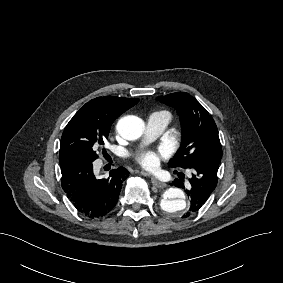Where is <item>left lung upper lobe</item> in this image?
<instances>
[{
  "label": "left lung upper lobe",
  "mask_w": 283,
  "mask_h": 283,
  "mask_svg": "<svg viewBox=\"0 0 283 283\" xmlns=\"http://www.w3.org/2000/svg\"><path fill=\"white\" fill-rule=\"evenodd\" d=\"M157 99L177 109L182 118V143L169 162L171 167L189 168L202 158L222 157L216 124L193 96L178 92Z\"/></svg>",
  "instance_id": "5c2ea615"
}]
</instances>
